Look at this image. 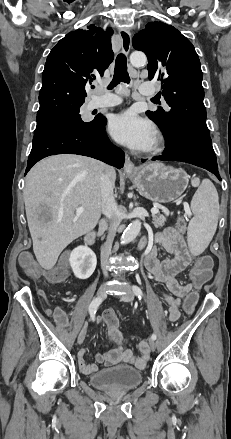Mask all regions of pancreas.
I'll return each mask as SVG.
<instances>
[{
	"label": "pancreas",
	"instance_id": "cf45deb5",
	"mask_svg": "<svg viewBox=\"0 0 231 439\" xmlns=\"http://www.w3.org/2000/svg\"><path fill=\"white\" fill-rule=\"evenodd\" d=\"M152 217L155 228L163 227L165 222L167 221L166 216H164L163 214H155Z\"/></svg>",
	"mask_w": 231,
	"mask_h": 439
}]
</instances>
